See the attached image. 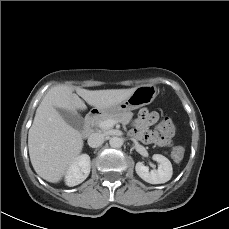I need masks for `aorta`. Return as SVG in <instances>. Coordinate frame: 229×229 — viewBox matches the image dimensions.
I'll return each instance as SVG.
<instances>
[{
	"label": "aorta",
	"mask_w": 229,
	"mask_h": 229,
	"mask_svg": "<svg viewBox=\"0 0 229 229\" xmlns=\"http://www.w3.org/2000/svg\"><path fill=\"white\" fill-rule=\"evenodd\" d=\"M109 144L112 148H120L123 144V140L120 137H111Z\"/></svg>",
	"instance_id": "aorta-1"
}]
</instances>
